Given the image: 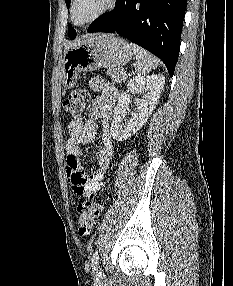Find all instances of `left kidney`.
Returning <instances> with one entry per match:
<instances>
[{"label":"left kidney","instance_id":"left-kidney-1","mask_svg":"<svg viewBox=\"0 0 233 286\" xmlns=\"http://www.w3.org/2000/svg\"><path fill=\"white\" fill-rule=\"evenodd\" d=\"M165 77L163 75L136 76L127 84V92L122 93L118 99V105L114 109L111 123V136L117 141H124L134 135L146 122L158 103L160 94L164 88ZM135 97L136 106L130 119L124 120L128 110V104L132 95ZM124 120V122H123Z\"/></svg>","mask_w":233,"mask_h":286}]
</instances>
